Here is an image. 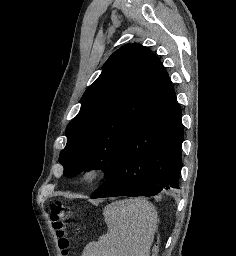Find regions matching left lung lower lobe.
Returning a JSON list of instances; mask_svg holds the SVG:
<instances>
[{"mask_svg": "<svg viewBox=\"0 0 236 256\" xmlns=\"http://www.w3.org/2000/svg\"><path fill=\"white\" fill-rule=\"evenodd\" d=\"M182 111L175 95L135 128L106 181L92 198L154 196L179 188L182 168Z\"/></svg>", "mask_w": 236, "mask_h": 256, "instance_id": "0a47b994", "label": "left lung lower lobe"}]
</instances>
